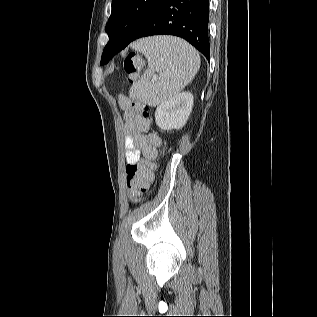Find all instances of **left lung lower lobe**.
<instances>
[{"label":"left lung lower lobe","mask_w":317,"mask_h":317,"mask_svg":"<svg viewBox=\"0 0 317 317\" xmlns=\"http://www.w3.org/2000/svg\"><path fill=\"white\" fill-rule=\"evenodd\" d=\"M209 0H163L134 38L125 44L109 41L105 46L108 59L129 43L152 35H175L187 40L209 61Z\"/></svg>","instance_id":"obj_1"}]
</instances>
